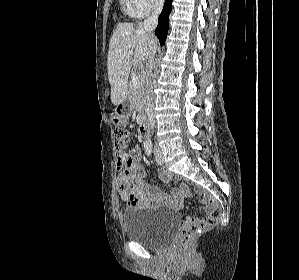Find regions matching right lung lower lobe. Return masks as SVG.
Segmentation results:
<instances>
[{"mask_svg":"<svg viewBox=\"0 0 299 280\" xmlns=\"http://www.w3.org/2000/svg\"><path fill=\"white\" fill-rule=\"evenodd\" d=\"M172 10V0H166L161 15L159 16L158 26L155 29V34L159 39L161 45L165 43L168 28H169V15Z\"/></svg>","mask_w":299,"mask_h":280,"instance_id":"1","label":"right lung lower lobe"}]
</instances>
